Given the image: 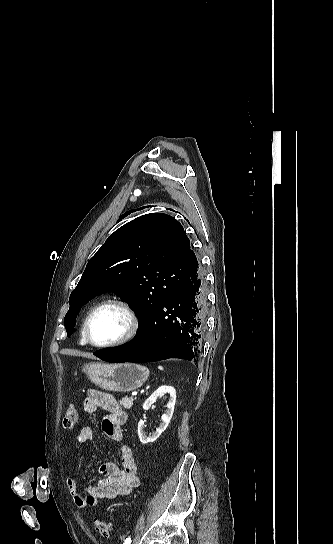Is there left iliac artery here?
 Returning <instances> with one entry per match:
<instances>
[{
    "label": "left iliac artery",
    "instance_id": "obj_1",
    "mask_svg": "<svg viewBox=\"0 0 333 544\" xmlns=\"http://www.w3.org/2000/svg\"><path fill=\"white\" fill-rule=\"evenodd\" d=\"M124 544H131V538L128 537L127 539H125Z\"/></svg>",
    "mask_w": 333,
    "mask_h": 544
}]
</instances>
